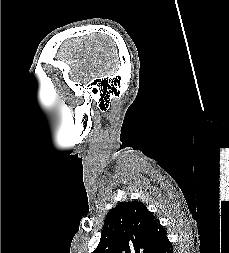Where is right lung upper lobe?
I'll use <instances>...</instances> for the list:
<instances>
[{
    "instance_id": "1",
    "label": "right lung upper lobe",
    "mask_w": 229,
    "mask_h": 253,
    "mask_svg": "<svg viewBox=\"0 0 229 253\" xmlns=\"http://www.w3.org/2000/svg\"><path fill=\"white\" fill-rule=\"evenodd\" d=\"M167 240V231L143 203L120 202L108 212L93 253H155Z\"/></svg>"
}]
</instances>
